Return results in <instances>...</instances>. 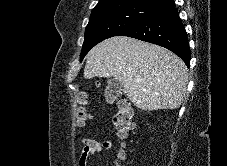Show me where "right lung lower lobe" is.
<instances>
[{"label":"right lung lower lobe","mask_w":227,"mask_h":166,"mask_svg":"<svg viewBox=\"0 0 227 166\" xmlns=\"http://www.w3.org/2000/svg\"><path fill=\"white\" fill-rule=\"evenodd\" d=\"M117 36H127L165 47L190 65V48L184 26L174 7L167 0L142 20Z\"/></svg>","instance_id":"right-lung-lower-lobe-1"}]
</instances>
